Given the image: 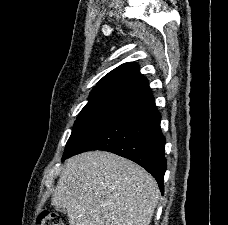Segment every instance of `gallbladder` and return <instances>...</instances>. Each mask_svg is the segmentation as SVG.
<instances>
[{
  "instance_id": "obj_1",
  "label": "gallbladder",
  "mask_w": 228,
  "mask_h": 225,
  "mask_svg": "<svg viewBox=\"0 0 228 225\" xmlns=\"http://www.w3.org/2000/svg\"><path fill=\"white\" fill-rule=\"evenodd\" d=\"M59 211H62V213H63V211H65V209H59Z\"/></svg>"
}]
</instances>
